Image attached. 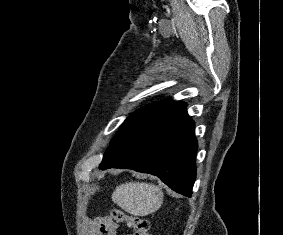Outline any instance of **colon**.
Segmentation results:
<instances>
[{"instance_id":"5ec220e1","label":"colon","mask_w":283,"mask_h":235,"mask_svg":"<svg viewBox=\"0 0 283 235\" xmlns=\"http://www.w3.org/2000/svg\"><path fill=\"white\" fill-rule=\"evenodd\" d=\"M110 217L116 222L126 223L131 227L132 235H149L150 222L146 218L131 216L119 209H112Z\"/></svg>"}]
</instances>
